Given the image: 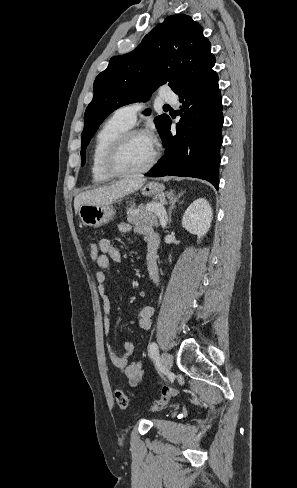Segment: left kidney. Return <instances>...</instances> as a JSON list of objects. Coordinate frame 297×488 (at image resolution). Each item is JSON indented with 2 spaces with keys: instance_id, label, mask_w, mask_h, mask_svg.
I'll return each mask as SVG.
<instances>
[{
  "instance_id": "left-kidney-1",
  "label": "left kidney",
  "mask_w": 297,
  "mask_h": 488,
  "mask_svg": "<svg viewBox=\"0 0 297 488\" xmlns=\"http://www.w3.org/2000/svg\"><path fill=\"white\" fill-rule=\"evenodd\" d=\"M212 215V208L204 198L195 200L185 211L182 225L188 232L197 235V243L208 232L212 222Z\"/></svg>"
}]
</instances>
